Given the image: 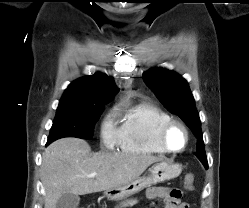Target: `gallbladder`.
I'll return each mask as SVG.
<instances>
[{"label":"gallbladder","mask_w":249,"mask_h":208,"mask_svg":"<svg viewBox=\"0 0 249 208\" xmlns=\"http://www.w3.org/2000/svg\"><path fill=\"white\" fill-rule=\"evenodd\" d=\"M80 197L72 193L62 195L56 203V208H77Z\"/></svg>","instance_id":"gallbladder-1"}]
</instances>
